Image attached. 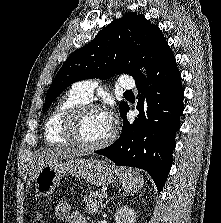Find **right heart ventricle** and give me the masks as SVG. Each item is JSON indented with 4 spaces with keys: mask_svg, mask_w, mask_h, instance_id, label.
I'll list each match as a JSON object with an SVG mask.
<instances>
[{
    "mask_svg": "<svg viewBox=\"0 0 221 223\" xmlns=\"http://www.w3.org/2000/svg\"><path fill=\"white\" fill-rule=\"evenodd\" d=\"M87 101L72 89L63 94L55 103L44 123V139L50 144H66L68 141L62 135V126L66 113L78 104Z\"/></svg>",
    "mask_w": 221,
    "mask_h": 223,
    "instance_id": "1",
    "label": "right heart ventricle"
}]
</instances>
